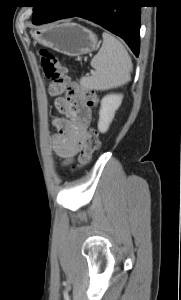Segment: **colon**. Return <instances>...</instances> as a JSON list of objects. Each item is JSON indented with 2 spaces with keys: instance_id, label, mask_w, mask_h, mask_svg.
<instances>
[{
  "instance_id": "colon-1",
  "label": "colon",
  "mask_w": 181,
  "mask_h": 300,
  "mask_svg": "<svg viewBox=\"0 0 181 300\" xmlns=\"http://www.w3.org/2000/svg\"><path fill=\"white\" fill-rule=\"evenodd\" d=\"M40 55L43 74L50 81L49 93L51 95L65 94L68 99L84 100L89 107L97 105L98 97L95 91L85 87L81 82H71L66 68L56 55L48 51H41ZM62 113L69 115V106H64ZM99 148V132L95 128H91L86 134L83 147L79 153L78 166L87 165Z\"/></svg>"
}]
</instances>
